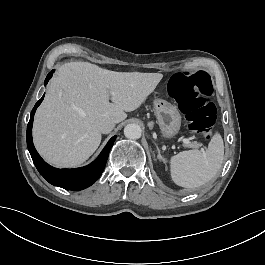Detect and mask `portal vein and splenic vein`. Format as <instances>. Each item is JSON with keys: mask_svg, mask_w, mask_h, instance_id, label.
Returning <instances> with one entry per match:
<instances>
[{"mask_svg": "<svg viewBox=\"0 0 265 265\" xmlns=\"http://www.w3.org/2000/svg\"><path fill=\"white\" fill-rule=\"evenodd\" d=\"M183 142L185 144H191V141L189 139H184ZM200 148H201V151H204V147L203 146H201Z\"/></svg>", "mask_w": 265, "mask_h": 265, "instance_id": "obj_1", "label": "portal vein and splenic vein"}]
</instances>
